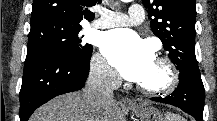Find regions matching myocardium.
Instances as JSON below:
<instances>
[{"label": "myocardium", "instance_id": "f54148a6", "mask_svg": "<svg viewBox=\"0 0 217 121\" xmlns=\"http://www.w3.org/2000/svg\"><path fill=\"white\" fill-rule=\"evenodd\" d=\"M155 62L164 70V79L158 85L137 84V88L148 96H161L175 91L180 83V74L175 63L168 57H157Z\"/></svg>", "mask_w": 217, "mask_h": 121}]
</instances>
